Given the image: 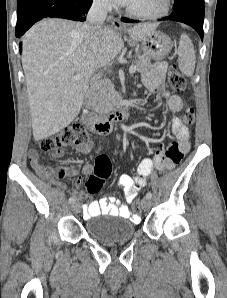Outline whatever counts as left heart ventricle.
I'll list each match as a JSON object with an SVG mask.
<instances>
[{"label":"left heart ventricle","instance_id":"b2bd125f","mask_svg":"<svg viewBox=\"0 0 227 298\" xmlns=\"http://www.w3.org/2000/svg\"><path fill=\"white\" fill-rule=\"evenodd\" d=\"M162 4L163 0H132L127 7L138 12L152 13L158 11Z\"/></svg>","mask_w":227,"mask_h":298}]
</instances>
